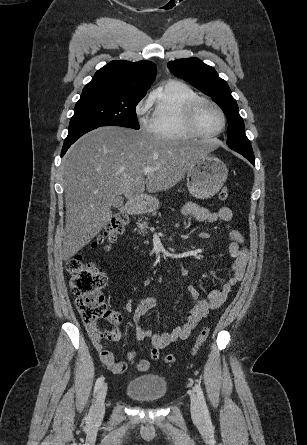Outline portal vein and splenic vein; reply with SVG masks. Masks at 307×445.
<instances>
[{"label":"portal vein and splenic vein","instance_id":"18ae733b","mask_svg":"<svg viewBox=\"0 0 307 445\" xmlns=\"http://www.w3.org/2000/svg\"><path fill=\"white\" fill-rule=\"evenodd\" d=\"M154 170H157V168H151V166H144L143 172L147 174V172H154Z\"/></svg>","mask_w":307,"mask_h":445}]
</instances>
